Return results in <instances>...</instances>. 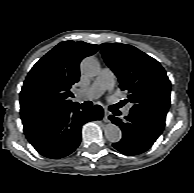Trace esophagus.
Instances as JSON below:
<instances>
[{
  "label": "esophagus",
  "mask_w": 194,
  "mask_h": 193,
  "mask_svg": "<svg viewBox=\"0 0 194 193\" xmlns=\"http://www.w3.org/2000/svg\"><path fill=\"white\" fill-rule=\"evenodd\" d=\"M109 112L108 111H104V117H103V121L104 122H109Z\"/></svg>",
  "instance_id": "esophagus-1"
}]
</instances>
